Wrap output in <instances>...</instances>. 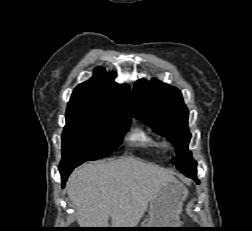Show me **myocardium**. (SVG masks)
<instances>
[{
	"label": "myocardium",
	"mask_w": 252,
	"mask_h": 231,
	"mask_svg": "<svg viewBox=\"0 0 252 231\" xmlns=\"http://www.w3.org/2000/svg\"><path fill=\"white\" fill-rule=\"evenodd\" d=\"M162 146L165 148V149H169L171 148V143L169 141H164L162 143Z\"/></svg>",
	"instance_id": "1"
}]
</instances>
